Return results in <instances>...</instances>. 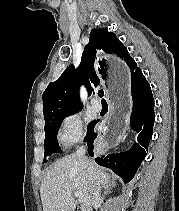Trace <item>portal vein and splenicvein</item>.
<instances>
[{
  "mask_svg": "<svg viewBox=\"0 0 179 211\" xmlns=\"http://www.w3.org/2000/svg\"><path fill=\"white\" fill-rule=\"evenodd\" d=\"M73 194H74V196H76L79 199H82L83 198V195H82L81 192L76 191V192H73Z\"/></svg>",
  "mask_w": 179,
  "mask_h": 211,
  "instance_id": "portal-vein-and-splenic-vein-1",
  "label": "portal vein and splenic vein"
}]
</instances>
